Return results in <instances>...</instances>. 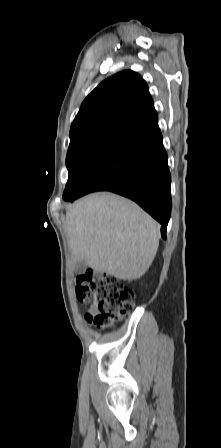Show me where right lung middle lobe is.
Returning <instances> with one entry per match:
<instances>
[{
    "mask_svg": "<svg viewBox=\"0 0 221 448\" xmlns=\"http://www.w3.org/2000/svg\"><path fill=\"white\" fill-rule=\"evenodd\" d=\"M115 144V142H97L68 151L66 157L68 181L63 194L65 201L77 197L88 177Z\"/></svg>",
    "mask_w": 221,
    "mask_h": 448,
    "instance_id": "dd1d6c3e",
    "label": "right lung middle lobe"
}]
</instances>
